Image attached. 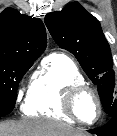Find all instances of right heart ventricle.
Listing matches in <instances>:
<instances>
[{"mask_svg":"<svg viewBox=\"0 0 117 136\" xmlns=\"http://www.w3.org/2000/svg\"><path fill=\"white\" fill-rule=\"evenodd\" d=\"M78 84L86 82L77 64L66 54H49L32 77L24 113L74 123L63 110V97L68 88Z\"/></svg>","mask_w":117,"mask_h":136,"instance_id":"right-heart-ventricle-1","label":"right heart ventricle"}]
</instances>
